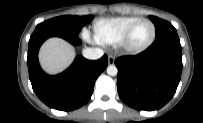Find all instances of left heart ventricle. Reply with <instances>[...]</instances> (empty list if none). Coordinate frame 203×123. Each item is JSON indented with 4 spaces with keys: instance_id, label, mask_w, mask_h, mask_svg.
<instances>
[{
    "instance_id": "left-heart-ventricle-1",
    "label": "left heart ventricle",
    "mask_w": 203,
    "mask_h": 123,
    "mask_svg": "<svg viewBox=\"0 0 203 123\" xmlns=\"http://www.w3.org/2000/svg\"><path fill=\"white\" fill-rule=\"evenodd\" d=\"M152 36V26L148 22L138 24L133 30L129 44L133 47L144 45Z\"/></svg>"
}]
</instances>
